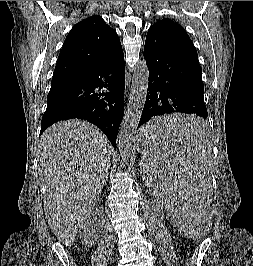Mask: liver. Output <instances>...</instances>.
<instances>
[{
  "mask_svg": "<svg viewBox=\"0 0 253 266\" xmlns=\"http://www.w3.org/2000/svg\"><path fill=\"white\" fill-rule=\"evenodd\" d=\"M111 147L94 125L73 119L58 122L41 136L39 175L45 185L48 224L71 246L96 206L110 167Z\"/></svg>",
  "mask_w": 253,
  "mask_h": 266,
  "instance_id": "liver-1",
  "label": "liver"
}]
</instances>
